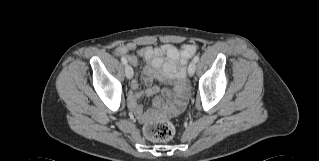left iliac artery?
<instances>
[{
	"instance_id": "1",
	"label": "left iliac artery",
	"mask_w": 319,
	"mask_h": 161,
	"mask_svg": "<svg viewBox=\"0 0 319 161\" xmlns=\"http://www.w3.org/2000/svg\"><path fill=\"white\" fill-rule=\"evenodd\" d=\"M193 61H194L195 63L198 62V61H199V56H195L194 59H193Z\"/></svg>"
}]
</instances>
